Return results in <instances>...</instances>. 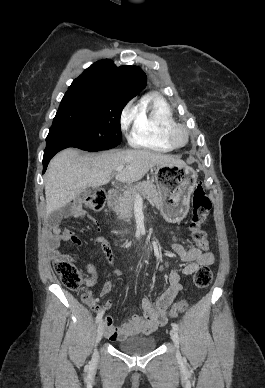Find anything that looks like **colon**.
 <instances>
[{
    "mask_svg": "<svg viewBox=\"0 0 265 388\" xmlns=\"http://www.w3.org/2000/svg\"><path fill=\"white\" fill-rule=\"evenodd\" d=\"M106 200V192L97 190L88 196L83 204L92 212L102 210ZM193 209L190 224L191 237L194 243L203 250L208 249L207 233L203 229V224L207 220L211 209V202L206 195L202 183H198L193 192ZM54 269L62 283L70 290L79 291L83 288V276L81 270L72 262L66 260H58L54 263ZM213 279V271L210 266L204 265L198 268L193 276V284L198 289L206 288L210 285ZM89 294L85 293L83 298L89 299ZM187 307L186 302H180L171 306L169 310L170 317H176L183 312Z\"/></svg>",
    "mask_w": 265,
    "mask_h": 388,
    "instance_id": "colon-1",
    "label": "colon"
}]
</instances>
